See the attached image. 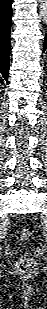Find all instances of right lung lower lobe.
Masks as SVG:
<instances>
[{
    "label": "right lung lower lobe",
    "instance_id": "right-lung-lower-lobe-1",
    "mask_svg": "<svg viewBox=\"0 0 47 309\" xmlns=\"http://www.w3.org/2000/svg\"><path fill=\"white\" fill-rule=\"evenodd\" d=\"M12 0H0V73L8 82Z\"/></svg>",
    "mask_w": 47,
    "mask_h": 309
}]
</instances>
